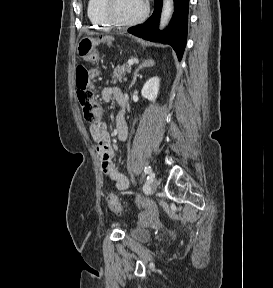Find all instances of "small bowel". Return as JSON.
Returning a JSON list of instances; mask_svg holds the SVG:
<instances>
[{"mask_svg": "<svg viewBox=\"0 0 273 288\" xmlns=\"http://www.w3.org/2000/svg\"><path fill=\"white\" fill-rule=\"evenodd\" d=\"M101 96L105 102H109L114 98L119 103L120 99L124 98L122 91L118 87L103 89ZM90 133L97 144L103 174L110 182L115 184L117 189L126 190L129 187V180L116 166L115 152L111 146L106 124L103 122L92 123L90 125ZM116 134L121 141L127 137V125L122 115H119L116 119Z\"/></svg>", "mask_w": 273, "mask_h": 288, "instance_id": "c3829d8e", "label": "small bowel"}]
</instances>
